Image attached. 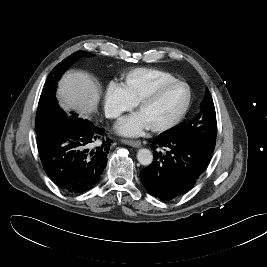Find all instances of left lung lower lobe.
<instances>
[{
    "instance_id": "obj_1",
    "label": "left lung lower lobe",
    "mask_w": 267,
    "mask_h": 267,
    "mask_svg": "<svg viewBox=\"0 0 267 267\" xmlns=\"http://www.w3.org/2000/svg\"><path fill=\"white\" fill-rule=\"evenodd\" d=\"M154 161L140 172L146 190L168 201L188 192L210 163L212 152L192 138H155Z\"/></svg>"
}]
</instances>
